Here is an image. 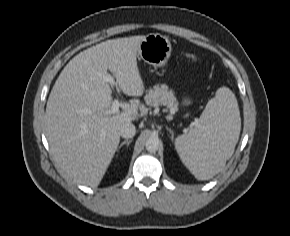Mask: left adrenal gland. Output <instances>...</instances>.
Returning a JSON list of instances; mask_svg holds the SVG:
<instances>
[{
	"label": "left adrenal gland",
	"mask_w": 290,
	"mask_h": 236,
	"mask_svg": "<svg viewBox=\"0 0 290 236\" xmlns=\"http://www.w3.org/2000/svg\"><path fill=\"white\" fill-rule=\"evenodd\" d=\"M166 129H167V131H169L171 133V140L173 141V139H174V132L170 128H168V127H166Z\"/></svg>",
	"instance_id": "a2214340"
}]
</instances>
